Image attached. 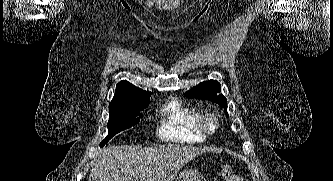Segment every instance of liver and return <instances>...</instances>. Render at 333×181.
I'll return each mask as SVG.
<instances>
[{
	"mask_svg": "<svg viewBox=\"0 0 333 181\" xmlns=\"http://www.w3.org/2000/svg\"><path fill=\"white\" fill-rule=\"evenodd\" d=\"M206 152L191 145L108 146L92 162L88 181H174L191 160Z\"/></svg>",
	"mask_w": 333,
	"mask_h": 181,
	"instance_id": "liver-1",
	"label": "liver"
}]
</instances>
